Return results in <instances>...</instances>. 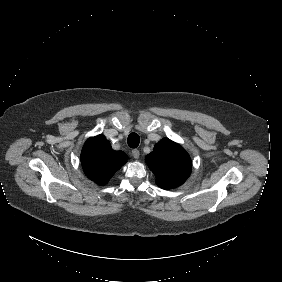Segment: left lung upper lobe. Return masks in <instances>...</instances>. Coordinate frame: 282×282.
Here are the masks:
<instances>
[{
	"label": "left lung upper lobe",
	"instance_id": "5c2ea615",
	"mask_svg": "<svg viewBox=\"0 0 282 282\" xmlns=\"http://www.w3.org/2000/svg\"><path fill=\"white\" fill-rule=\"evenodd\" d=\"M145 160L156 176V184L163 189L182 185L191 173L192 163L188 153L168 138L160 140Z\"/></svg>",
	"mask_w": 282,
	"mask_h": 282
}]
</instances>
